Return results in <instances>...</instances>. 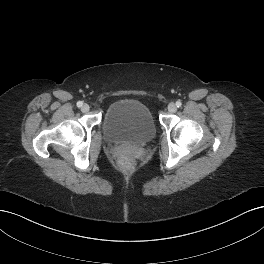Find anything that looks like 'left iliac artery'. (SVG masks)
Wrapping results in <instances>:
<instances>
[{
  "label": "left iliac artery",
  "instance_id": "obj_1",
  "mask_svg": "<svg viewBox=\"0 0 264 264\" xmlns=\"http://www.w3.org/2000/svg\"><path fill=\"white\" fill-rule=\"evenodd\" d=\"M181 105H182L181 101H177V102H176V106H177V107H181Z\"/></svg>",
  "mask_w": 264,
  "mask_h": 264
}]
</instances>
